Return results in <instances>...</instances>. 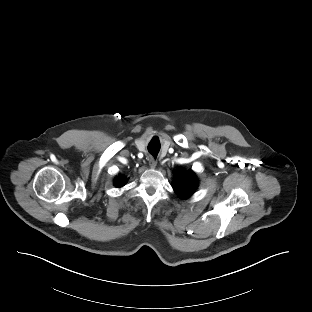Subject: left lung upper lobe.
<instances>
[{"label": "left lung upper lobe", "instance_id": "left-lung-upper-lobe-1", "mask_svg": "<svg viewBox=\"0 0 312 312\" xmlns=\"http://www.w3.org/2000/svg\"><path fill=\"white\" fill-rule=\"evenodd\" d=\"M173 189L180 198H187L197 188L196 175L191 171L177 169L174 172Z\"/></svg>", "mask_w": 312, "mask_h": 312}]
</instances>
